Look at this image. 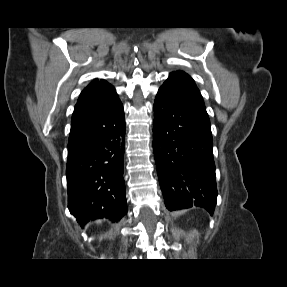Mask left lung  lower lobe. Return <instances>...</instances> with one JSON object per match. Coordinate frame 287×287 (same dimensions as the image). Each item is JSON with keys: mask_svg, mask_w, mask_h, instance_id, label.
Instances as JSON below:
<instances>
[{"mask_svg": "<svg viewBox=\"0 0 287 287\" xmlns=\"http://www.w3.org/2000/svg\"><path fill=\"white\" fill-rule=\"evenodd\" d=\"M153 150L167 209L194 205L213 214L217 188L209 118L167 85L154 102Z\"/></svg>", "mask_w": 287, "mask_h": 287, "instance_id": "0a47b994", "label": "left lung lower lobe"}]
</instances>
